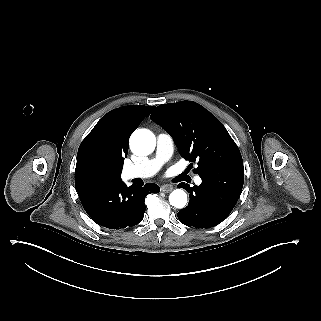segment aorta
<instances>
[{"instance_id":"obj_1","label":"aorta","mask_w":321,"mask_h":321,"mask_svg":"<svg viewBox=\"0 0 321 321\" xmlns=\"http://www.w3.org/2000/svg\"><path fill=\"white\" fill-rule=\"evenodd\" d=\"M155 146L156 137L150 130L138 129L131 135L130 149L136 155H148L153 152ZM169 202L175 208H184L187 204L186 192L182 189L172 191L169 195Z\"/></svg>"}]
</instances>
